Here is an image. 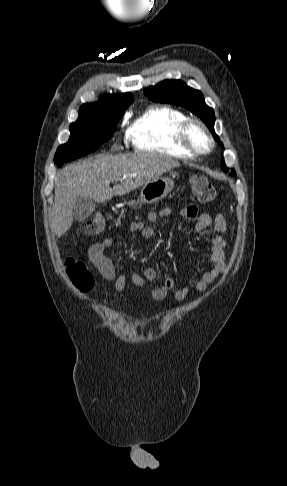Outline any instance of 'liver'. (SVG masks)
I'll use <instances>...</instances> for the list:
<instances>
[{
  "label": "liver",
  "instance_id": "6515ba94",
  "mask_svg": "<svg viewBox=\"0 0 287 486\" xmlns=\"http://www.w3.org/2000/svg\"><path fill=\"white\" fill-rule=\"evenodd\" d=\"M171 157L159 154H101L72 164L57 174L52 208L51 231L64 235L73 223V204L78 197L103 203L158 179L166 171L179 167ZM118 180L113 188L110 183Z\"/></svg>",
  "mask_w": 287,
  "mask_h": 486
}]
</instances>
